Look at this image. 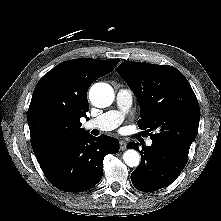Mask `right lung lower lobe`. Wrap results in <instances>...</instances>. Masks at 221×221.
Listing matches in <instances>:
<instances>
[{
	"mask_svg": "<svg viewBox=\"0 0 221 221\" xmlns=\"http://www.w3.org/2000/svg\"><path fill=\"white\" fill-rule=\"evenodd\" d=\"M119 151V141L101 135L85 134L40 160V166L53 186L67 192H83L97 184L103 175V159Z\"/></svg>",
	"mask_w": 221,
	"mask_h": 221,
	"instance_id": "98d812e1",
	"label": "right lung lower lobe"
}]
</instances>
